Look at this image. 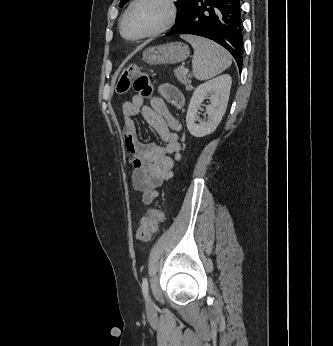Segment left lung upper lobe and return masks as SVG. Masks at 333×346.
I'll return each instance as SVG.
<instances>
[{
  "mask_svg": "<svg viewBox=\"0 0 333 346\" xmlns=\"http://www.w3.org/2000/svg\"><path fill=\"white\" fill-rule=\"evenodd\" d=\"M127 1H129V0H121L120 6L124 5ZM192 1L193 0H178L179 5L177 7L176 22H179L185 16V12L187 10V7Z\"/></svg>",
  "mask_w": 333,
  "mask_h": 346,
  "instance_id": "1",
  "label": "left lung upper lobe"
}]
</instances>
